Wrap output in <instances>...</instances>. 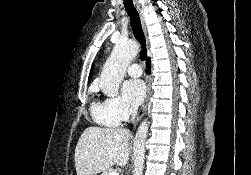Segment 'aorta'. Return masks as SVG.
Wrapping results in <instances>:
<instances>
[{"label":"aorta","instance_id":"762f6f07","mask_svg":"<svg viewBox=\"0 0 251 175\" xmlns=\"http://www.w3.org/2000/svg\"><path fill=\"white\" fill-rule=\"evenodd\" d=\"M139 46L136 42H119L115 44L110 58L106 60L101 72L99 88L105 95H115L125 76V72L138 54ZM148 135V121H141L133 143L134 173L142 175L145 159V143Z\"/></svg>","mask_w":251,"mask_h":175}]
</instances>
